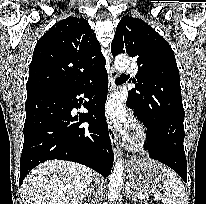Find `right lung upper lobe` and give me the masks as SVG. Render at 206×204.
I'll return each mask as SVG.
<instances>
[{
	"mask_svg": "<svg viewBox=\"0 0 206 204\" xmlns=\"http://www.w3.org/2000/svg\"><path fill=\"white\" fill-rule=\"evenodd\" d=\"M105 64L88 21L68 17L52 26L37 42L29 66L27 95L75 88Z\"/></svg>",
	"mask_w": 206,
	"mask_h": 204,
	"instance_id": "obj_1",
	"label": "right lung upper lobe"
}]
</instances>
